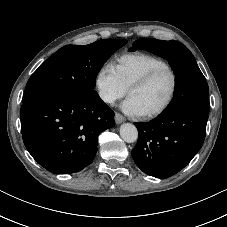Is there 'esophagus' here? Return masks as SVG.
Listing matches in <instances>:
<instances>
[{
	"label": "esophagus",
	"mask_w": 227,
	"mask_h": 227,
	"mask_svg": "<svg viewBox=\"0 0 227 227\" xmlns=\"http://www.w3.org/2000/svg\"><path fill=\"white\" fill-rule=\"evenodd\" d=\"M125 121V118H124V116H122L120 113H115V122L117 123V124H120V123H122V122H124Z\"/></svg>",
	"instance_id": "1"
}]
</instances>
